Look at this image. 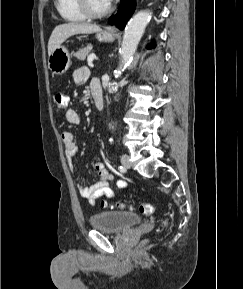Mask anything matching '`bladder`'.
Here are the masks:
<instances>
[{
    "label": "bladder",
    "instance_id": "1",
    "mask_svg": "<svg viewBox=\"0 0 243 289\" xmlns=\"http://www.w3.org/2000/svg\"><path fill=\"white\" fill-rule=\"evenodd\" d=\"M141 218L134 213L125 211H103L90 218L94 229L123 233L140 224Z\"/></svg>",
    "mask_w": 243,
    "mask_h": 289
}]
</instances>
